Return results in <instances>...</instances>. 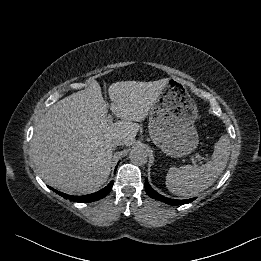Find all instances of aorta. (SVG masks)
<instances>
[{
    "label": "aorta",
    "mask_w": 261,
    "mask_h": 261,
    "mask_svg": "<svg viewBox=\"0 0 261 261\" xmlns=\"http://www.w3.org/2000/svg\"><path fill=\"white\" fill-rule=\"evenodd\" d=\"M129 158L135 165H144L147 163L148 155L143 148L136 147L130 151Z\"/></svg>",
    "instance_id": "1"
}]
</instances>
